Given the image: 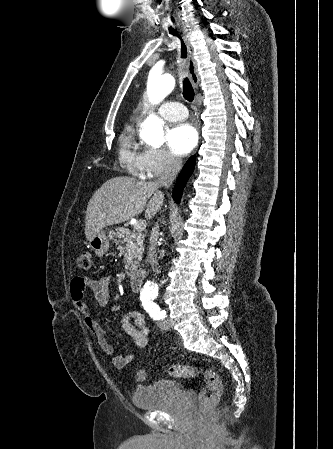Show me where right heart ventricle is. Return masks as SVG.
<instances>
[{"label":"right heart ventricle","instance_id":"right-heart-ventricle-1","mask_svg":"<svg viewBox=\"0 0 333 449\" xmlns=\"http://www.w3.org/2000/svg\"><path fill=\"white\" fill-rule=\"evenodd\" d=\"M120 155L133 171H139L137 165V149L133 132L126 130L120 137Z\"/></svg>","mask_w":333,"mask_h":449}]
</instances>
